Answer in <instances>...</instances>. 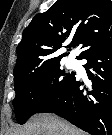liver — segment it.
<instances>
[{
  "instance_id": "6515ba94",
  "label": "liver",
  "mask_w": 112,
  "mask_h": 135,
  "mask_svg": "<svg viewBox=\"0 0 112 135\" xmlns=\"http://www.w3.org/2000/svg\"><path fill=\"white\" fill-rule=\"evenodd\" d=\"M15 135H86V133L55 115L38 114Z\"/></svg>"
}]
</instances>
